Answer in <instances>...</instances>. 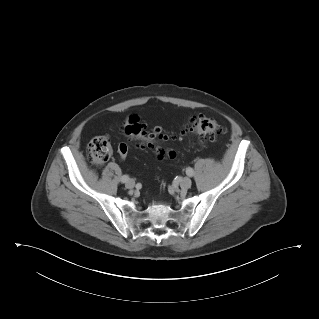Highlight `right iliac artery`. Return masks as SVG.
<instances>
[{
	"instance_id": "obj_1",
	"label": "right iliac artery",
	"mask_w": 319,
	"mask_h": 319,
	"mask_svg": "<svg viewBox=\"0 0 319 319\" xmlns=\"http://www.w3.org/2000/svg\"><path fill=\"white\" fill-rule=\"evenodd\" d=\"M128 180H129V176H128V175H123V176L121 177V182H122V183H126Z\"/></svg>"
}]
</instances>
